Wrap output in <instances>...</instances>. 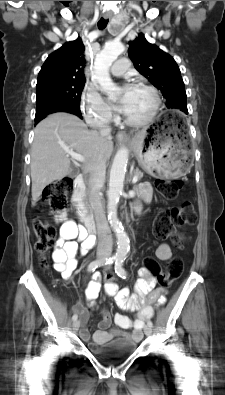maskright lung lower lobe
<instances>
[{"label":"right lung lower lobe","mask_w":225,"mask_h":395,"mask_svg":"<svg viewBox=\"0 0 225 395\" xmlns=\"http://www.w3.org/2000/svg\"><path fill=\"white\" fill-rule=\"evenodd\" d=\"M55 112H70V113L82 118L79 106L66 105V106L56 108V109L42 115L41 117H37V118L35 117V124H37L40 120H42L48 114L55 113Z\"/></svg>","instance_id":"right-lung-lower-lobe-1"}]
</instances>
